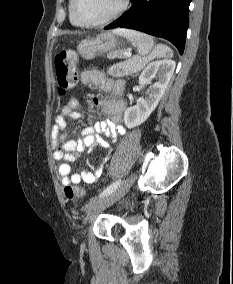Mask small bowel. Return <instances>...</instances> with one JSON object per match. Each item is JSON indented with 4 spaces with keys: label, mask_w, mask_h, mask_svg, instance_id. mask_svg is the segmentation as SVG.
Instances as JSON below:
<instances>
[{
    "label": "small bowel",
    "mask_w": 233,
    "mask_h": 284,
    "mask_svg": "<svg viewBox=\"0 0 233 284\" xmlns=\"http://www.w3.org/2000/svg\"><path fill=\"white\" fill-rule=\"evenodd\" d=\"M80 82L82 85H93L100 90L113 96L111 99L94 96L92 103L99 106L107 119L95 125L85 127L77 139L65 140L64 130L66 128V117L78 119L81 117L79 102L77 98L71 97L62 107L60 113L55 117V124L51 131V145L54 150L53 156L61 164L58 167V174L64 186L79 185L80 183H94L102 173L103 165L110 158V150L104 157L101 165L92 171L72 172L71 162L86 150L101 145L109 149V144L100 135L116 138L124 135L126 130L120 120L124 110L123 101L117 99L123 92L124 83L108 79L98 70H86L81 73Z\"/></svg>",
    "instance_id": "small-bowel-1"
}]
</instances>
